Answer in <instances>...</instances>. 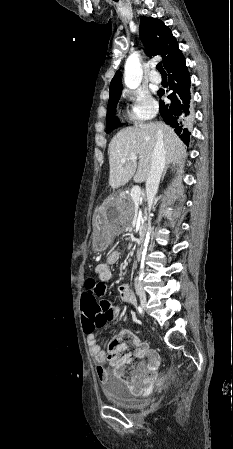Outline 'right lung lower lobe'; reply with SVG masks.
I'll list each match as a JSON object with an SVG mask.
<instances>
[{
    "label": "right lung lower lobe",
    "mask_w": 233,
    "mask_h": 449,
    "mask_svg": "<svg viewBox=\"0 0 233 449\" xmlns=\"http://www.w3.org/2000/svg\"><path fill=\"white\" fill-rule=\"evenodd\" d=\"M170 102L159 101L160 114L167 124L174 128L180 139L189 144L190 128L189 124L192 118V102L190 94V76L185 65V60L178 66L168 71ZM164 92H159V96Z\"/></svg>",
    "instance_id": "right-lung-lower-lobe-1"
}]
</instances>
